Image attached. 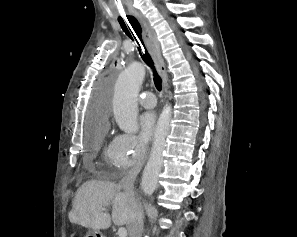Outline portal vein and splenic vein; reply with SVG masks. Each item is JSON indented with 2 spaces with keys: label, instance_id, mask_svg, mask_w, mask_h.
<instances>
[{
  "label": "portal vein and splenic vein",
  "instance_id": "18ae733b",
  "mask_svg": "<svg viewBox=\"0 0 297 237\" xmlns=\"http://www.w3.org/2000/svg\"><path fill=\"white\" fill-rule=\"evenodd\" d=\"M118 236L119 237H127V230L125 228H119L118 230Z\"/></svg>",
  "mask_w": 297,
  "mask_h": 237
}]
</instances>
